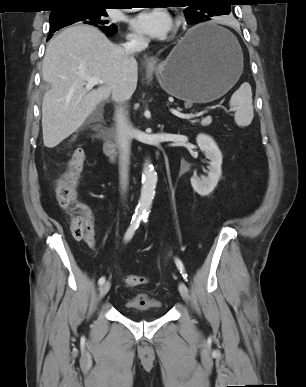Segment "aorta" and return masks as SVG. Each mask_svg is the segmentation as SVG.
<instances>
[{"label": "aorta", "mask_w": 306, "mask_h": 387, "mask_svg": "<svg viewBox=\"0 0 306 387\" xmlns=\"http://www.w3.org/2000/svg\"><path fill=\"white\" fill-rule=\"evenodd\" d=\"M157 184V173L153 165L146 162L142 173V187L139 202L136 209V215L139 217L147 216L152 206Z\"/></svg>", "instance_id": "aorta-1"}]
</instances>
